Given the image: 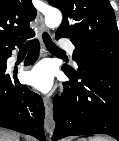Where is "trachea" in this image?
<instances>
[{"mask_svg":"<svg viewBox=\"0 0 119 141\" xmlns=\"http://www.w3.org/2000/svg\"><path fill=\"white\" fill-rule=\"evenodd\" d=\"M42 37L48 50H50L51 52H58V53L64 52L63 50H61L54 44V42L51 40L48 33H43ZM32 45H33V42L29 41L22 47V49H29Z\"/></svg>","mask_w":119,"mask_h":141,"instance_id":"obj_1","label":"trachea"}]
</instances>
